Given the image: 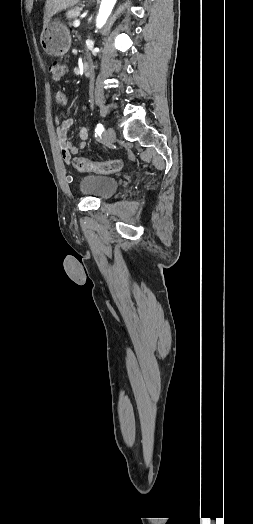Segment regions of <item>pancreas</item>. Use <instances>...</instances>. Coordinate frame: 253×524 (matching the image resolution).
Instances as JSON below:
<instances>
[{
  "label": "pancreas",
  "mask_w": 253,
  "mask_h": 524,
  "mask_svg": "<svg viewBox=\"0 0 253 524\" xmlns=\"http://www.w3.org/2000/svg\"><path fill=\"white\" fill-rule=\"evenodd\" d=\"M81 10H82V8H80V7H74L72 9L68 10L67 13H66L67 19L75 20L79 16Z\"/></svg>",
  "instance_id": "cf45deb5"
}]
</instances>
